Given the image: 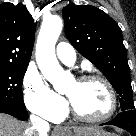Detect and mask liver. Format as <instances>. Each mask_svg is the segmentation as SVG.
Wrapping results in <instances>:
<instances>
[{
	"label": "liver",
	"instance_id": "6515ba94",
	"mask_svg": "<svg viewBox=\"0 0 136 136\" xmlns=\"http://www.w3.org/2000/svg\"><path fill=\"white\" fill-rule=\"evenodd\" d=\"M90 127L74 128V133H86L94 130ZM38 136L32 127L9 115L0 113V136Z\"/></svg>",
	"mask_w": 136,
	"mask_h": 136
}]
</instances>
